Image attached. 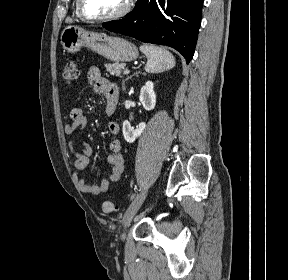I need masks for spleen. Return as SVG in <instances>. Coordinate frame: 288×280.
Returning a JSON list of instances; mask_svg holds the SVG:
<instances>
[{
	"instance_id": "spleen-1",
	"label": "spleen",
	"mask_w": 288,
	"mask_h": 280,
	"mask_svg": "<svg viewBox=\"0 0 288 280\" xmlns=\"http://www.w3.org/2000/svg\"><path fill=\"white\" fill-rule=\"evenodd\" d=\"M140 50L147 57L144 69L148 73H160L175 66L174 56L163 47L144 44Z\"/></svg>"
}]
</instances>
